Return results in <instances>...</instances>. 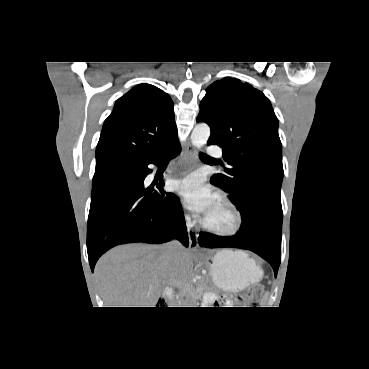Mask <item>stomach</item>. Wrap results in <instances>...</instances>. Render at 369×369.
<instances>
[{"label": "stomach", "instance_id": "stomach-1", "mask_svg": "<svg viewBox=\"0 0 369 369\" xmlns=\"http://www.w3.org/2000/svg\"><path fill=\"white\" fill-rule=\"evenodd\" d=\"M209 264L213 282L225 292H239L258 282L262 271L244 252L222 250Z\"/></svg>", "mask_w": 369, "mask_h": 369}]
</instances>
